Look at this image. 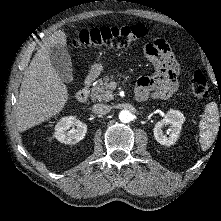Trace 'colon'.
Listing matches in <instances>:
<instances>
[{
	"label": "colon",
	"instance_id": "1",
	"mask_svg": "<svg viewBox=\"0 0 221 221\" xmlns=\"http://www.w3.org/2000/svg\"><path fill=\"white\" fill-rule=\"evenodd\" d=\"M147 33V28L141 24L124 27H96L81 30L73 40V44L76 47L119 49L131 45L145 37ZM190 90L197 98H205L208 95L207 80L201 71L198 70L194 73L190 81Z\"/></svg>",
	"mask_w": 221,
	"mask_h": 221
}]
</instances>
